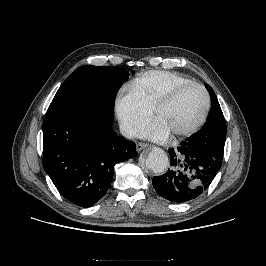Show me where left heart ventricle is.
Masks as SVG:
<instances>
[{
    "mask_svg": "<svg viewBox=\"0 0 266 266\" xmlns=\"http://www.w3.org/2000/svg\"><path fill=\"white\" fill-rule=\"evenodd\" d=\"M205 97L198 88L183 91L171 104L163 108L156 116L170 133L192 126L202 115Z\"/></svg>",
    "mask_w": 266,
    "mask_h": 266,
    "instance_id": "b2bd125f",
    "label": "left heart ventricle"
}]
</instances>
